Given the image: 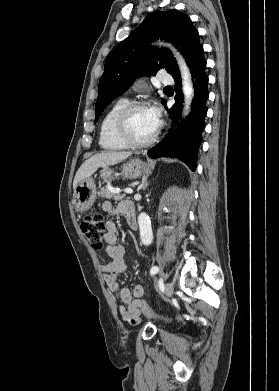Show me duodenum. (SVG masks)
<instances>
[{
	"instance_id": "duodenum-1",
	"label": "duodenum",
	"mask_w": 279,
	"mask_h": 391,
	"mask_svg": "<svg viewBox=\"0 0 279 391\" xmlns=\"http://www.w3.org/2000/svg\"><path fill=\"white\" fill-rule=\"evenodd\" d=\"M125 214H126V218H127L129 226L133 230H138L139 225H138V221L136 218V213H135V209H134L133 205H132V207H129L125 210Z\"/></svg>"
}]
</instances>
